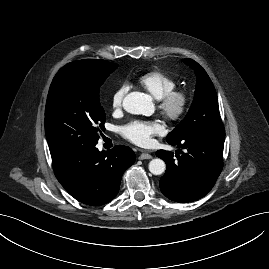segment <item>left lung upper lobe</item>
Listing matches in <instances>:
<instances>
[{"label": "left lung upper lobe", "mask_w": 269, "mask_h": 269, "mask_svg": "<svg viewBox=\"0 0 269 269\" xmlns=\"http://www.w3.org/2000/svg\"><path fill=\"white\" fill-rule=\"evenodd\" d=\"M184 62L194 69L197 84L193 103L182 122L170 132L167 142H176L197 129H222L215 88L206 71L194 60Z\"/></svg>", "instance_id": "5c2ea615"}]
</instances>
